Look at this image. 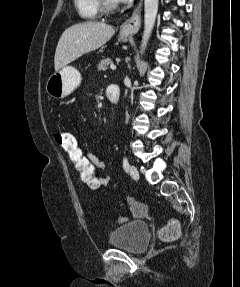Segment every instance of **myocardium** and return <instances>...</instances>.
Listing matches in <instances>:
<instances>
[{
    "label": "myocardium",
    "mask_w": 240,
    "mask_h": 287,
    "mask_svg": "<svg viewBox=\"0 0 240 287\" xmlns=\"http://www.w3.org/2000/svg\"><path fill=\"white\" fill-rule=\"evenodd\" d=\"M100 8L104 12H111L117 9L118 4L114 0H98Z\"/></svg>",
    "instance_id": "myocardium-1"
}]
</instances>
